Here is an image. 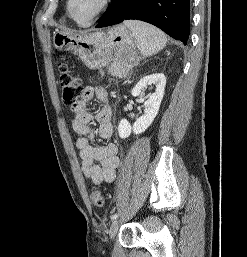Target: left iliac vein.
Instances as JSON below:
<instances>
[{"label": "left iliac vein", "instance_id": "1", "mask_svg": "<svg viewBox=\"0 0 247 257\" xmlns=\"http://www.w3.org/2000/svg\"><path fill=\"white\" fill-rule=\"evenodd\" d=\"M119 220H114L110 226V229H109V236L111 239H114L117 231H118V228H119Z\"/></svg>", "mask_w": 247, "mask_h": 257}]
</instances>
